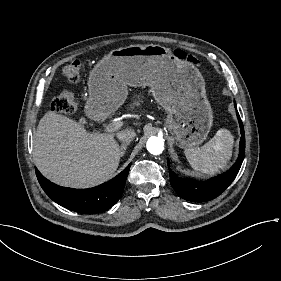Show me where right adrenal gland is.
<instances>
[{"mask_svg":"<svg viewBox=\"0 0 281 281\" xmlns=\"http://www.w3.org/2000/svg\"><path fill=\"white\" fill-rule=\"evenodd\" d=\"M128 145H129V143L126 142V143H123V144L120 146V157H123V156H124Z\"/></svg>","mask_w":281,"mask_h":281,"instance_id":"1","label":"right adrenal gland"}]
</instances>
